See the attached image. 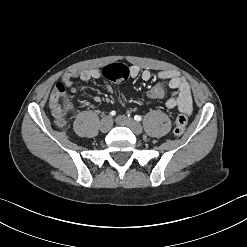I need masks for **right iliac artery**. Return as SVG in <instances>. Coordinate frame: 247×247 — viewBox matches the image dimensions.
<instances>
[{"mask_svg":"<svg viewBox=\"0 0 247 247\" xmlns=\"http://www.w3.org/2000/svg\"><path fill=\"white\" fill-rule=\"evenodd\" d=\"M115 114H116L115 111H111V112H110V115H111V116H114Z\"/></svg>","mask_w":247,"mask_h":247,"instance_id":"82829eb1","label":"right iliac artery"}]
</instances>
